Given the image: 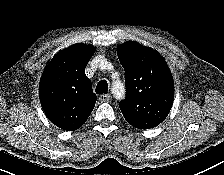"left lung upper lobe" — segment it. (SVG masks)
<instances>
[{"mask_svg":"<svg viewBox=\"0 0 224 175\" xmlns=\"http://www.w3.org/2000/svg\"><path fill=\"white\" fill-rule=\"evenodd\" d=\"M117 54L125 71L126 98L119 103L125 120L138 129L156 127L169 114L174 99L165 60L136 42L120 45Z\"/></svg>","mask_w":224,"mask_h":175,"instance_id":"1","label":"left lung upper lobe"}]
</instances>
